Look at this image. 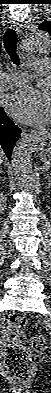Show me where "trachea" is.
Here are the masks:
<instances>
[{
    "mask_svg": "<svg viewBox=\"0 0 51 393\" xmlns=\"http://www.w3.org/2000/svg\"><path fill=\"white\" fill-rule=\"evenodd\" d=\"M4 47L12 62L18 66L20 64V59L17 54V34L14 29H8L5 32Z\"/></svg>",
    "mask_w": 51,
    "mask_h": 393,
    "instance_id": "obj_1",
    "label": "trachea"
}]
</instances>
